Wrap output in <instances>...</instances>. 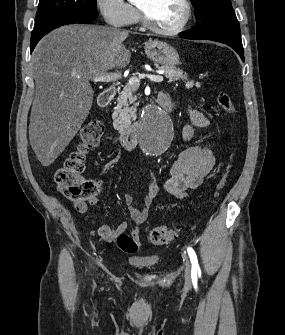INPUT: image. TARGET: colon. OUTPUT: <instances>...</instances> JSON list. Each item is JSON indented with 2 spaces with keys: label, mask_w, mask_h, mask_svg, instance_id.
Instances as JSON below:
<instances>
[{
  "label": "colon",
  "mask_w": 285,
  "mask_h": 335,
  "mask_svg": "<svg viewBox=\"0 0 285 335\" xmlns=\"http://www.w3.org/2000/svg\"><path fill=\"white\" fill-rule=\"evenodd\" d=\"M220 108L228 114L235 113V105L225 92H220L216 97ZM103 125L99 121H91L84 125L79 131V142L74 151L66 158L63 165L58 168L54 175L55 183L60 192L69 200L74 202H85L98 194L100 183L95 180L86 179L82 176L85 170L86 155L90 150L96 148L103 135ZM234 153L230 157L225 174L216 186L215 195L218 197L227 187ZM176 236V231L167 226H158L148 231V240L153 245H164ZM117 246L125 253H135L139 243L132 234L122 233L117 237Z\"/></svg>",
  "instance_id": "1"
}]
</instances>
